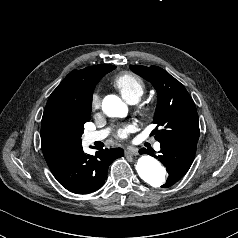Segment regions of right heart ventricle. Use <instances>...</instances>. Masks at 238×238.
I'll use <instances>...</instances> for the list:
<instances>
[{"label":"right heart ventricle","instance_id":"1","mask_svg":"<svg viewBox=\"0 0 238 238\" xmlns=\"http://www.w3.org/2000/svg\"><path fill=\"white\" fill-rule=\"evenodd\" d=\"M112 82L122 97L128 102L131 100L138 101L146 88L144 81L140 77L127 72L117 74Z\"/></svg>","mask_w":238,"mask_h":238}]
</instances>
